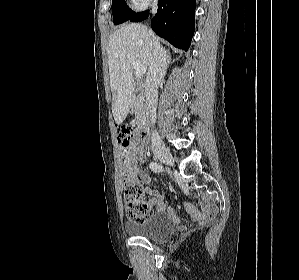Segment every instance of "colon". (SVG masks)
<instances>
[{"label":"colon","mask_w":299,"mask_h":280,"mask_svg":"<svg viewBox=\"0 0 299 280\" xmlns=\"http://www.w3.org/2000/svg\"><path fill=\"white\" fill-rule=\"evenodd\" d=\"M121 159L123 164V194L125 213L133 222H143L151 216L152 210L141 198V187L132 182L128 176V149L134 139V131L131 126L122 124L116 127Z\"/></svg>","instance_id":"5ec220e1"}]
</instances>
